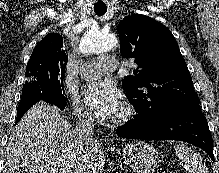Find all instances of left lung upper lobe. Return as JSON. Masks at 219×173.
Wrapping results in <instances>:
<instances>
[{
	"label": "left lung upper lobe",
	"instance_id": "1",
	"mask_svg": "<svg viewBox=\"0 0 219 173\" xmlns=\"http://www.w3.org/2000/svg\"><path fill=\"white\" fill-rule=\"evenodd\" d=\"M120 51L137 69L122 80L139 121L153 120L179 105L198 102L192 78L172 33L158 21L136 14L118 25Z\"/></svg>",
	"mask_w": 219,
	"mask_h": 173
}]
</instances>
